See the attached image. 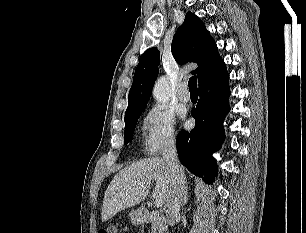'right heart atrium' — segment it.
I'll use <instances>...</instances> for the list:
<instances>
[{"label": "right heart atrium", "instance_id": "obj_1", "mask_svg": "<svg viewBox=\"0 0 306 233\" xmlns=\"http://www.w3.org/2000/svg\"><path fill=\"white\" fill-rule=\"evenodd\" d=\"M142 128L144 145L150 155H157L175 143V117L166 109L150 108L143 118Z\"/></svg>", "mask_w": 306, "mask_h": 233}]
</instances>
